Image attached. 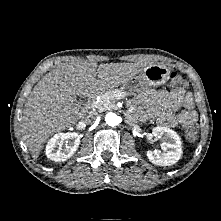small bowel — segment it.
<instances>
[{
  "instance_id": "obj_1",
  "label": "small bowel",
  "mask_w": 221,
  "mask_h": 221,
  "mask_svg": "<svg viewBox=\"0 0 221 221\" xmlns=\"http://www.w3.org/2000/svg\"><path fill=\"white\" fill-rule=\"evenodd\" d=\"M162 108L157 116V121L161 125L176 126L186 121H195L197 118L194 111V101L190 93L182 88L165 91L160 94ZM184 110L176 112L179 107Z\"/></svg>"
}]
</instances>
